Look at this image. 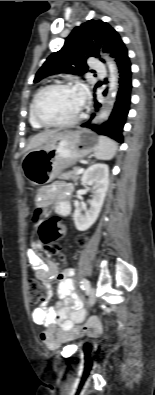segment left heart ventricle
<instances>
[{
	"mask_svg": "<svg viewBox=\"0 0 155 395\" xmlns=\"http://www.w3.org/2000/svg\"><path fill=\"white\" fill-rule=\"evenodd\" d=\"M81 106L75 88H55L45 92L38 102V113L47 122H66L73 119Z\"/></svg>",
	"mask_w": 155,
	"mask_h": 395,
	"instance_id": "b2bd125f",
	"label": "left heart ventricle"
}]
</instances>
